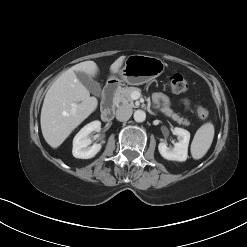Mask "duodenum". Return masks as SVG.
Instances as JSON below:
<instances>
[{
  "label": "duodenum",
  "instance_id": "obj_1",
  "mask_svg": "<svg viewBox=\"0 0 247 247\" xmlns=\"http://www.w3.org/2000/svg\"><path fill=\"white\" fill-rule=\"evenodd\" d=\"M118 88L116 81H109L103 91V99L101 106V117L105 122H109L114 117L115 96Z\"/></svg>",
  "mask_w": 247,
  "mask_h": 247
}]
</instances>
